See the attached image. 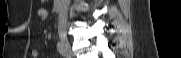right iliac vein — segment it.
<instances>
[{
  "mask_svg": "<svg viewBox=\"0 0 181 58\" xmlns=\"http://www.w3.org/2000/svg\"><path fill=\"white\" fill-rule=\"evenodd\" d=\"M61 43L64 46V48L66 49V51L71 53V46H70V43H69L67 37L61 36Z\"/></svg>",
  "mask_w": 181,
  "mask_h": 58,
  "instance_id": "63e3f726",
  "label": "right iliac vein"
}]
</instances>
